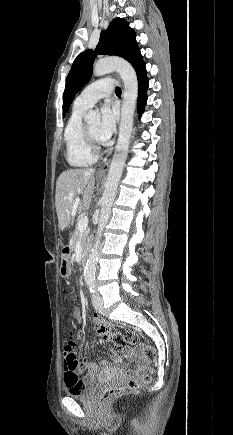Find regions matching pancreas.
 Masks as SVG:
<instances>
[{
    "label": "pancreas",
    "mask_w": 233,
    "mask_h": 435,
    "mask_svg": "<svg viewBox=\"0 0 233 435\" xmlns=\"http://www.w3.org/2000/svg\"><path fill=\"white\" fill-rule=\"evenodd\" d=\"M80 241L81 247L83 250V257L87 253V246L89 244V237H88V230L85 229L84 231L80 232L78 229V226H76V229L74 231L72 241H71V248L74 251L76 247V243Z\"/></svg>",
    "instance_id": "pancreas-1"
}]
</instances>
